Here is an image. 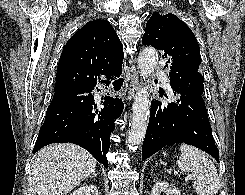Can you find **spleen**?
Masks as SVG:
<instances>
[{
    "mask_svg": "<svg viewBox=\"0 0 245 195\" xmlns=\"http://www.w3.org/2000/svg\"><path fill=\"white\" fill-rule=\"evenodd\" d=\"M181 155L176 164L185 172H190L197 180V195H215L220 188L217 169L210 158L194 146H180Z\"/></svg>",
    "mask_w": 245,
    "mask_h": 195,
    "instance_id": "obj_1",
    "label": "spleen"
}]
</instances>
